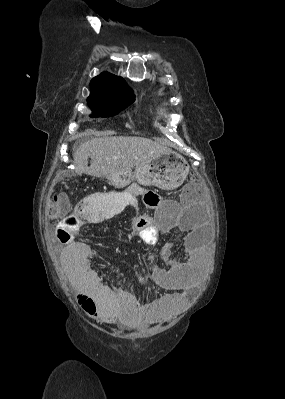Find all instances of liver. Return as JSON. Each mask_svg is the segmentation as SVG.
Segmentation results:
<instances>
[{
    "instance_id": "obj_1",
    "label": "liver",
    "mask_w": 285,
    "mask_h": 399,
    "mask_svg": "<svg viewBox=\"0 0 285 399\" xmlns=\"http://www.w3.org/2000/svg\"><path fill=\"white\" fill-rule=\"evenodd\" d=\"M169 151L164 145L143 137L103 136L88 140L73 153L75 172L93 177H117L156 155ZM91 165L88 166V158Z\"/></svg>"
}]
</instances>
